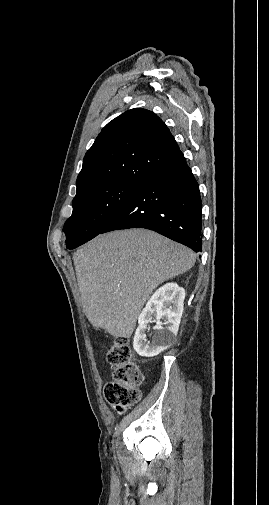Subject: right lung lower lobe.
I'll return each mask as SVG.
<instances>
[{
	"label": "right lung lower lobe",
	"mask_w": 269,
	"mask_h": 505,
	"mask_svg": "<svg viewBox=\"0 0 269 505\" xmlns=\"http://www.w3.org/2000/svg\"><path fill=\"white\" fill-rule=\"evenodd\" d=\"M128 228L150 229L201 252L199 185L183 156L151 175L100 233Z\"/></svg>",
	"instance_id": "98d812e1"
}]
</instances>
